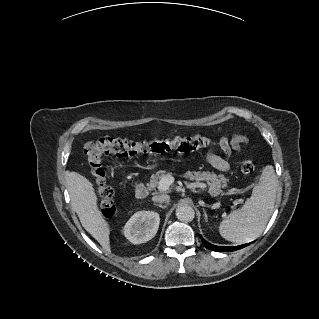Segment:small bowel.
Instances as JSON below:
<instances>
[{
    "label": "small bowel",
    "instance_id": "small-bowel-1",
    "mask_svg": "<svg viewBox=\"0 0 319 319\" xmlns=\"http://www.w3.org/2000/svg\"><path fill=\"white\" fill-rule=\"evenodd\" d=\"M243 142L244 138L242 136L224 138L221 140V147L226 154L230 155L233 151H238ZM206 160L213 168L219 171L224 172L230 168V164L227 159L220 157L212 151L206 153Z\"/></svg>",
    "mask_w": 319,
    "mask_h": 319
}]
</instances>
